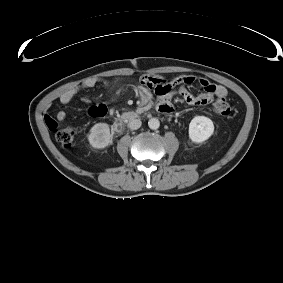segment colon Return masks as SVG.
Segmentation results:
<instances>
[{"instance_id": "1", "label": "colon", "mask_w": 283, "mask_h": 283, "mask_svg": "<svg viewBox=\"0 0 283 283\" xmlns=\"http://www.w3.org/2000/svg\"><path fill=\"white\" fill-rule=\"evenodd\" d=\"M230 110V105L224 98L216 100L210 106V111L219 116H228ZM56 139L62 146L70 147L75 140V131L72 128L61 129L57 132Z\"/></svg>"}]
</instances>
